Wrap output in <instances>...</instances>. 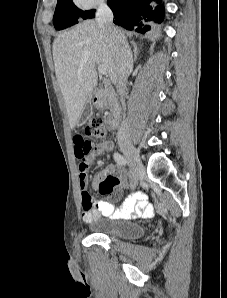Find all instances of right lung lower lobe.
Here are the masks:
<instances>
[{"label":"right lung lower lobe","mask_w":227,"mask_h":298,"mask_svg":"<svg viewBox=\"0 0 227 298\" xmlns=\"http://www.w3.org/2000/svg\"><path fill=\"white\" fill-rule=\"evenodd\" d=\"M151 2L159 3L160 0H108L107 4L113 11L115 24L128 30L145 33L150 26L142 21L160 23L163 20V6L152 8L149 5ZM93 17L94 12L88 18Z\"/></svg>","instance_id":"1"}]
</instances>
